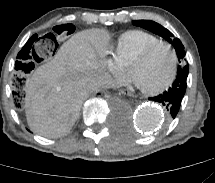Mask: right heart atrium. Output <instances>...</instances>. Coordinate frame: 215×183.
<instances>
[{"mask_svg":"<svg viewBox=\"0 0 215 183\" xmlns=\"http://www.w3.org/2000/svg\"><path fill=\"white\" fill-rule=\"evenodd\" d=\"M109 69L111 72L116 76L118 80L123 79V64L120 62V60L116 57L113 56L109 62H108Z\"/></svg>","mask_w":215,"mask_h":183,"instance_id":"1","label":"right heart atrium"}]
</instances>
